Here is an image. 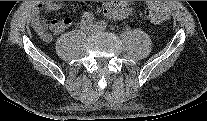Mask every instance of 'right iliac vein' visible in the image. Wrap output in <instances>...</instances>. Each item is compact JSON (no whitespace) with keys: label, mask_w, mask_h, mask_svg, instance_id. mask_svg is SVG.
<instances>
[{"label":"right iliac vein","mask_w":207,"mask_h":121,"mask_svg":"<svg viewBox=\"0 0 207 121\" xmlns=\"http://www.w3.org/2000/svg\"><path fill=\"white\" fill-rule=\"evenodd\" d=\"M82 27L84 30L89 31L91 30V26L89 24H87L86 22H83Z\"/></svg>","instance_id":"63e3f726"}]
</instances>
